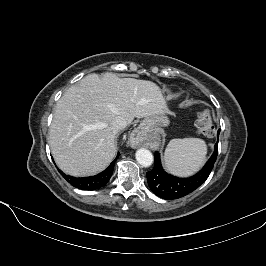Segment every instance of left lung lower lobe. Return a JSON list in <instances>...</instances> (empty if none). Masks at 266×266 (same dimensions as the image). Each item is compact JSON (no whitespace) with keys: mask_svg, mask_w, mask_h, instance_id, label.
<instances>
[{"mask_svg":"<svg viewBox=\"0 0 266 266\" xmlns=\"http://www.w3.org/2000/svg\"><path fill=\"white\" fill-rule=\"evenodd\" d=\"M219 133L220 130H218V136ZM217 154L218 142L215 144L212 156L202 170L192 177L179 178L170 175L163 170L160 155L158 152H155L154 167L150 172H147V182L151 191L165 200L178 199L188 195L206 181L214 167Z\"/></svg>","mask_w":266,"mask_h":266,"instance_id":"obj_1","label":"left lung lower lobe"}]
</instances>
